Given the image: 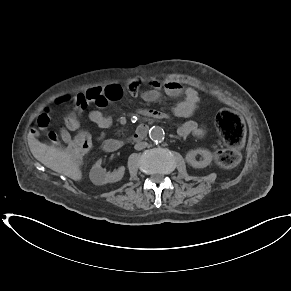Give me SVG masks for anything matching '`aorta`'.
<instances>
[{"instance_id": "1", "label": "aorta", "mask_w": 291, "mask_h": 291, "mask_svg": "<svg viewBox=\"0 0 291 291\" xmlns=\"http://www.w3.org/2000/svg\"><path fill=\"white\" fill-rule=\"evenodd\" d=\"M149 137L155 142H162L164 140V130L159 126H153L149 130Z\"/></svg>"}]
</instances>
